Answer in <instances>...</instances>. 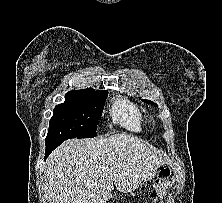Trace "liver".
I'll return each mask as SVG.
<instances>
[{
  "mask_svg": "<svg viewBox=\"0 0 222 203\" xmlns=\"http://www.w3.org/2000/svg\"><path fill=\"white\" fill-rule=\"evenodd\" d=\"M46 163L52 203H106L113 183L121 193L132 192L155 177L165 159L137 137L114 134L67 140Z\"/></svg>",
  "mask_w": 222,
  "mask_h": 203,
  "instance_id": "obj_1",
  "label": "liver"
}]
</instances>
